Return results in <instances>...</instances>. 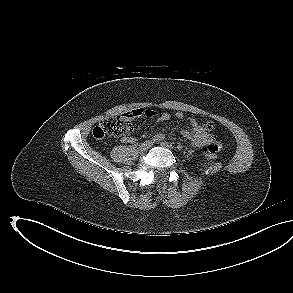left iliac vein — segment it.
<instances>
[{
  "label": "left iliac vein",
  "instance_id": "1",
  "mask_svg": "<svg viewBox=\"0 0 293 293\" xmlns=\"http://www.w3.org/2000/svg\"><path fill=\"white\" fill-rule=\"evenodd\" d=\"M160 145L166 149L173 150L174 146L168 142H161Z\"/></svg>",
  "mask_w": 293,
  "mask_h": 293
}]
</instances>
